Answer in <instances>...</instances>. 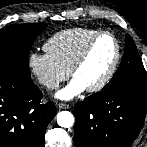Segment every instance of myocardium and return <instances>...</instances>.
<instances>
[{"label": "myocardium", "instance_id": "obj_1", "mask_svg": "<svg viewBox=\"0 0 147 147\" xmlns=\"http://www.w3.org/2000/svg\"><path fill=\"white\" fill-rule=\"evenodd\" d=\"M110 36L115 44V56L113 59V62L108 70V72L105 74V76L95 85L86 88V90L90 93L99 92L102 89H104L112 80L114 77L116 70L118 68V65L120 63L121 59V45L117 37L114 33L110 31H98L96 34H94L83 46L80 53L76 57L75 61L73 62L71 68H70V75L74 77L76 71L83 65L86 58L88 57V54L94 45V43L102 36Z\"/></svg>", "mask_w": 147, "mask_h": 147}]
</instances>
